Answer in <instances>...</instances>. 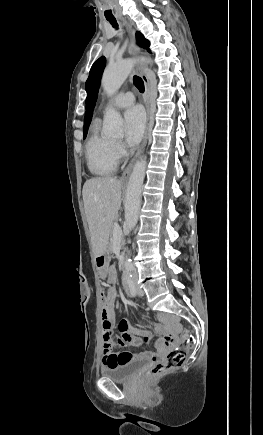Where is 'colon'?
<instances>
[{"label": "colon", "instance_id": "5ec220e1", "mask_svg": "<svg viewBox=\"0 0 263 435\" xmlns=\"http://www.w3.org/2000/svg\"><path fill=\"white\" fill-rule=\"evenodd\" d=\"M100 296L103 302L105 298L104 293L101 292ZM182 330H183L182 345L170 351L163 361L157 362L155 365L151 366L144 374V379L146 381L153 380L161 376L168 370L176 368L183 364L186 357V353L191 346V339L187 336L188 330L185 327ZM113 334L114 331L111 328H104L102 330V335L104 339L102 343V348L104 350H112L114 348L115 336Z\"/></svg>", "mask_w": 263, "mask_h": 435}]
</instances>
